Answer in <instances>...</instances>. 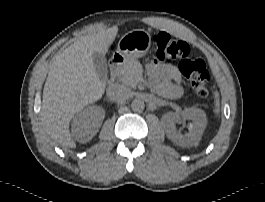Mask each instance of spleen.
<instances>
[{
	"instance_id": "obj_1",
	"label": "spleen",
	"mask_w": 265,
	"mask_h": 202,
	"mask_svg": "<svg viewBox=\"0 0 265 202\" xmlns=\"http://www.w3.org/2000/svg\"><path fill=\"white\" fill-rule=\"evenodd\" d=\"M214 96H215V109H214V113L216 115L219 114V111H220V103H219V95L217 92L214 93Z\"/></svg>"
}]
</instances>
